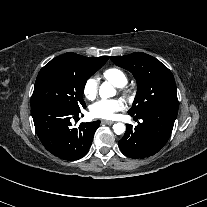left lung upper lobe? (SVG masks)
I'll list each match as a JSON object with an SVG mask.
<instances>
[{
  "label": "left lung upper lobe",
  "mask_w": 207,
  "mask_h": 207,
  "mask_svg": "<svg viewBox=\"0 0 207 207\" xmlns=\"http://www.w3.org/2000/svg\"><path fill=\"white\" fill-rule=\"evenodd\" d=\"M110 59L129 70L137 81L138 91L129 114L141 115L158 107L178 109L174 77L159 60L140 52Z\"/></svg>",
  "instance_id": "obj_1"
}]
</instances>
